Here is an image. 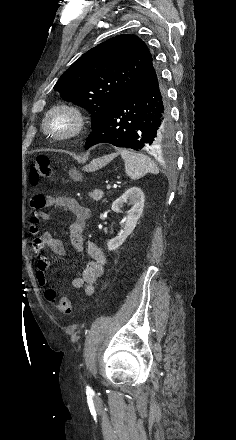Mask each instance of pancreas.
Here are the masks:
<instances>
[{
    "label": "pancreas",
    "instance_id": "obj_1",
    "mask_svg": "<svg viewBox=\"0 0 236 440\" xmlns=\"http://www.w3.org/2000/svg\"><path fill=\"white\" fill-rule=\"evenodd\" d=\"M89 196L94 200V201H99L100 199H102L103 197V192L101 190H93L91 193H89Z\"/></svg>",
    "mask_w": 236,
    "mask_h": 440
}]
</instances>
